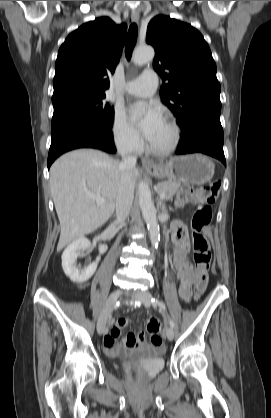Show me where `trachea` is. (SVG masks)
Listing matches in <instances>:
<instances>
[{
    "instance_id": "trachea-1",
    "label": "trachea",
    "mask_w": 271,
    "mask_h": 418,
    "mask_svg": "<svg viewBox=\"0 0 271 418\" xmlns=\"http://www.w3.org/2000/svg\"><path fill=\"white\" fill-rule=\"evenodd\" d=\"M137 34H138L137 25L135 23H132L131 26L129 27V31H128L126 42H125V53H126V57L128 60H130L133 48L136 44Z\"/></svg>"
}]
</instances>
